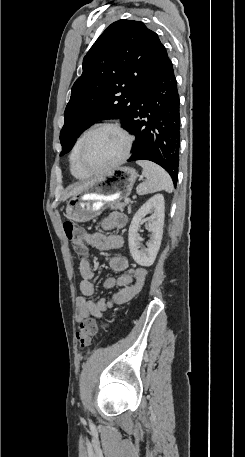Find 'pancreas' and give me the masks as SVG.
<instances>
[{"instance_id": "cf45deb5", "label": "pancreas", "mask_w": 245, "mask_h": 457, "mask_svg": "<svg viewBox=\"0 0 245 457\" xmlns=\"http://www.w3.org/2000/svg\"><path fill=\"white\" fill-rule=\"evenodd\" d=\"M127 202H110L108 206H111V208H119V210H123L124 206H126Z\"/></svg>"}]
</instances>
